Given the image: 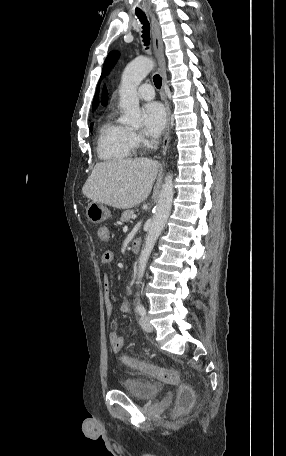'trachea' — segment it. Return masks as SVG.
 I'll return each instance as SVG.
<instances>
[{"instance_id": "3493384b", "label": "trachea", "mask_w": 286, "mask_h": 456, "mask_svg": "<svg viewBox=\"0 0 286 456\" xmlns=\"http://www.w3.org/2000/svg\"><path fill=\"white\" fill-rule=\"evenodd\" d=\"M136 15H137L138 19L140 20V22L143 24L142 38H143V42H144L145 46H148L149 41H150L149 22L147 21V17L144 13H136ZM153 81H154L156 88L160 89L161 85H162V78L158 74H156L153 77Z\"/></svg>"}]
</instances>
